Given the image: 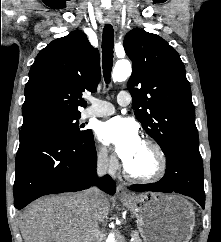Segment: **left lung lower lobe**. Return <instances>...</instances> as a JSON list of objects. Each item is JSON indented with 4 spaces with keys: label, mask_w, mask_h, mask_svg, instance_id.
Returning a JSON list of instances; mask_svg holds the SVG:
<instances>
[{
    "label": "left lung lower lobe",
    "mask_w": 221,
    "mask_h": 242,
    "mask_svg": "<svg viewBox=\"0 0 221 242\" xmlns=\"http://www.w3.org/2000/svg\"><path fill=\"white\" fill-rule=\"evenodd\" d=\"M165 156L164 177L156 183L132 185V190L176 192L192 197L204 208L203 162L199 145L177 144Z\"/></svg>",
    "instance_id": "1"
}]
</instances>
